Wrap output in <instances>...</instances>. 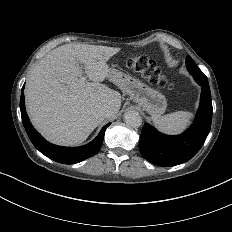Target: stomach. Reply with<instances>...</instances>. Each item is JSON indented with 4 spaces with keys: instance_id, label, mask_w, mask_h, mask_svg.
<instances>
[{
    "instance_id": "0dacf381",
    "label": "stomach",
    "mask_w": 232,
    "mask_h": 232,
    "mask_svg": "<svg viewBox=\"0 0 232 232\" xmlns=\"http://www.w3.org/2000/svg\"><path fill=\"white\" fill-rule=\"evenodd\" d=\"M110 79L131 97L134 104L142 107L153 116L161 115L164 112L166 98L159 91L116 70H111Z\"/></svg>"
}]
</instances>
